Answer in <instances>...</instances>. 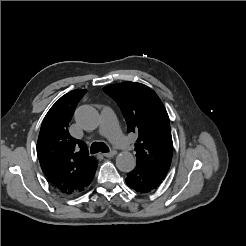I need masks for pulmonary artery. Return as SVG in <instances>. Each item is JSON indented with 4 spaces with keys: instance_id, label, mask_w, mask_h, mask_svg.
<instances>
[{
    "instance_id": "1",
    "label": "pulmonary artery",
    "mask_w": 246,
    "mask_h": 246,
    "mask_svg": "<svg viewBox=\"0 0 246 246\" xmlns=\"http://www.w3.org/2000/svg\"><path fill=\"white\" fill-rule=\"evenodd\" d=\"M99 131L101 135L109 138L117 147L123 150L132 148L119 128L114 112L109 107H105L102 110Z\"/></svg>"
}]
</instances>
